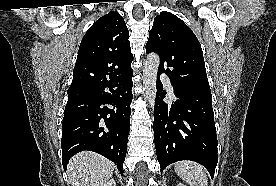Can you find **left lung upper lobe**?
<instances>
[{
  "mask_svg": "<svg viewBox=\"0 0 276 186\" xmlns=\"http://www.w3.org/2000/svg\"><path fill=\"white\" fill-rule=\"evenodd\" d=\"M146 52L159 54L158 73L165 72L173 86L211 94L201 45L192 30L177 16L162 11L155 17Z\"/></svg>",
  "mask_w": 276,
  "mask_h": 186,
  "instance_id": "left-lung-upper-lobe-1",
  "label": "left lung upper lobe"
}]
</instances>
